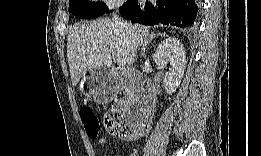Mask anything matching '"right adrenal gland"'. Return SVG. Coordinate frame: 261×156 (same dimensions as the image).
Returning <instances> with one entry per match:
<instances>
[{
    "mask_svg": "<svg viewBox=\"0 0 261 156\" xmlns=\"http://www.w3.org/2000/svg\"><path fill=\"white\" fill-rule=\"evenodd\" d=\"M159 36H164L163 34L161 33H158V34H154L149 41H147L143 46H142V50H141V56L143 57L145 55V51H146V48L147 46L151 43V41L156 38V37H159Z\"/></svg>",
    "mask_w": 261,
    "mask_h": 156,
    "instance_id": "1",
    "label": "right adrenal gland"
}]
</instances>
